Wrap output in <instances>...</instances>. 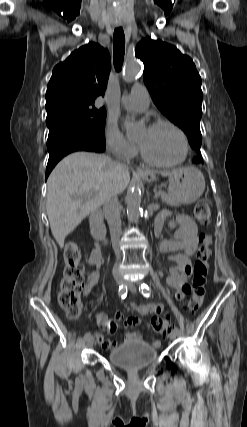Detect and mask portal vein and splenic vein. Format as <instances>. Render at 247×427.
<instances>
[{
  "label": "portal vein and splenic vein",
  "instance_id": "obj_1",
  "mask_svg": "<svg viewBox=\"0 0 247 427\" xmlns=\"http://www.w3.org/2000/svg\"><path fill=\"white\" fill-rule=\"evenodd\" d=\"M155 197H157V192L155 193Z\"/></svg>",
  "mask_w": 247,
  "mask_h": 427
}]
</instances>
